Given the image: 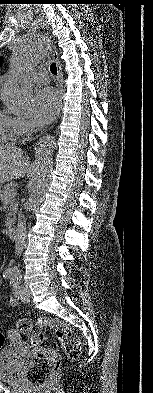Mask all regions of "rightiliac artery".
I'll return each mask as SVG.
<instances>
[{"mask_svg":"<svg viewBox=\"0 0 153 393\" xmlns=\"http://www.w3.org/2000/svg\"><path fill=\"white\" fill-rule=\"evenodd\" d=\"M12 275H13L12 272H11V271H8V270H5L4 273H3V277H4L5 279H8V278L11 277Z\"/></svg>","mask_w":153,"mask_h":393,"instance_id":"obj_1","label":"right iliac artery"}]
</instances>
